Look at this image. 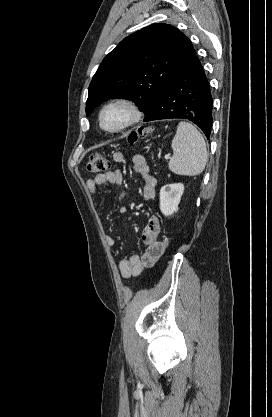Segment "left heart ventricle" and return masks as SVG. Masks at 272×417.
Listing matches in <instances>:
<instances>
[{
  "mask_svg": "<svg viewBox=\"0 0 272 417\" xmlns=\"http://www.w3.org/2000/svg\"><path fill=\"white\" fill-rule=\"evenodd\" d=\"M127 115V111L122 107L111 108L104 115V125L107 128H115L125 121Z\"/></svg>",
  "mask_w": 272,
  "mask_h": 417,
  "instance_id": "b2bd125f",
  "label": "left heart ventricle"
}]
</instances>
